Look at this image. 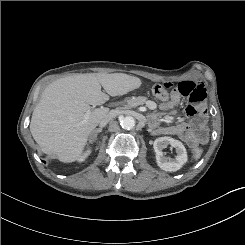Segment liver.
Listing matches in <instances>:
<instances>
[{"mask_svg":"<svg viewBox=\"0 0 245 245\" xmlns=\"http://www.w3.org/2000/svg\"><path fill=\"white\" fill-rule=\"evenodd\" d=\"M141 84L140 78L124 73L60 78L43 91L32 114L31 134L44 153L56 155L62 162L75 161L83 154L91 133L109 113L108 108L92 110L90 105H102L109 95L127 94Z\"/></svg>","mask_w":245,"mask_h":245,"instance_id":"obj_1","label":"liver"}]
</instances>
